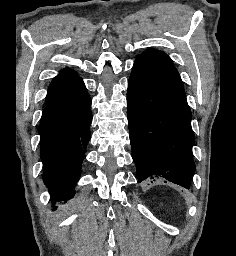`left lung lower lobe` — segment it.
Segmentation results:
<instances>
[{
	"mask_svg": "<svg viewBox=\"0 0 236 256\" xmlns=\"http://www.w3.org/2000/svg\"><path fill=\"white\" fill-rule=\"evenodd\" d=\"M127 109L139 182L163 180L189 189L195 172V138L185 93L133 69Z\"/></svg>",
	"mask_w": 236,
	"mask_h": 256,
	"instance_id": "left-lung-lower-lobe-1",
	"label": "left lung lower lobe"
}]
</instances>
